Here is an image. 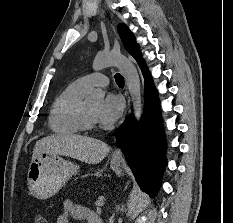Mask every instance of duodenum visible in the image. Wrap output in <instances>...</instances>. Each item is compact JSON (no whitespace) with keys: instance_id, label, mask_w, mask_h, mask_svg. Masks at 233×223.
<instances>
[{"instance_id":"obj_1","label":"duodenum","mask_w":233,"mask_h":223,"mask_svg":"<svg viewBox=\"0 0 233 223\" xmlns=\"http://www.w3.org/2000/svg\"><path fill=\"white\" fill-rule=\"evenodd\" d=\"M97 223H102L101 220H98Z\"/></svg>"}]
</instances>
